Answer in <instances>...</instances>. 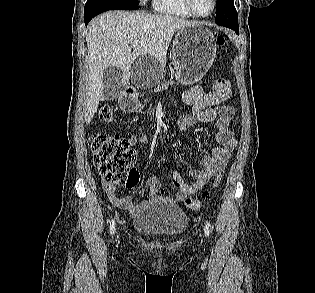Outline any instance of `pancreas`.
Returning <instances> with one entry per match:
<instances>
[{
  "instance_id": "1",
  "label": "pancreas",
  "mask_w": 315,
  "mask_h": 293,
  "mask_svg": "<svg viewBox=\"0 0 315 293\" xmlns=\"http://www.w3.org/2000/svg\"><path fill=\"white\" fill-rule=\"evenodd\" d=\"M173 74H174V71H173V70H171V80H170V81H168V82H164V83L162 84L163 86H167V85H169V84H173V81H172Z\"/></svg>"
}]
</instances>
